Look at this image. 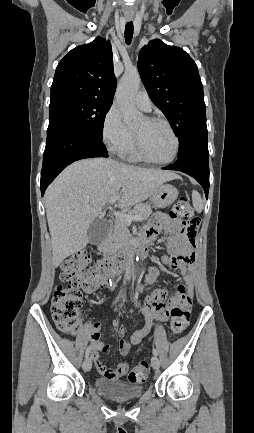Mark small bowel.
<instances>
[{
	"label": "small bowel",
	"mask_w": 254,
	"mask_h": 433,
	"mask_svg": "<svg viewBox=\"0 0 254 433\" xmlns=\"http://www.w3.org/2000/svg\"><path fill=\"white\" fill-rule=\"evenodd\" d=\"M161 228H166L170 236L176 241V246L171 251V256L164 255L161 257V262L171 269L178 270L184 277L185 282L178 286L175 294L169 295L166 290L158 289L151 291L148 288V295L144 306L138 308L145 319L146 325L139 330L134 331L130 335V343L138 345L142 342L145 336L149 333L154 321L165 322L168 319L171 308L177 303L180 296H185L191 299L192 294V278L194 276V261L195 253L192 251L188 241L181 236L180 233H175L178 226L167 223L164 220V215L157 214L153 220L144 228L143 238L153 241ZM159 270L156 267L151 268L145 277V282L151 286L157 277ZM105 283H101L98 287L104 288ZM100 324L93 325L92 340H91V358L99 372V374L107 379L117 380L128 372V364L126 362H118L113 369L108 368L101 360L100 353L110 352V347L101 341ZM120 337L118 350L120 354L127 355L130 351V343L125 338V329L123 327L117 330Z\"/></svg>",
	"instance_id": "1"
}]
</instances>
